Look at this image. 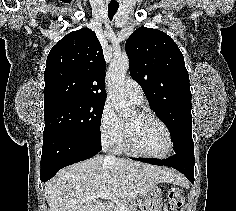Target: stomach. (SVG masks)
<instances>
[{
  "label": "stomach",
  "mask_w": 236,
  "mask_h": 211,
  "mask_svg": "<svg viewBox=\"0 0 236 211\" xmlns=\"http://www.w3.org/2000/svg\"><path fill=\"white\" fill-rule=\"evenodd\" d=\"M162 192L156 185L151 187L139 202L140 211H161Z\"/></svg>",
  "instance_id": "obj_1"
}]
</instances>
